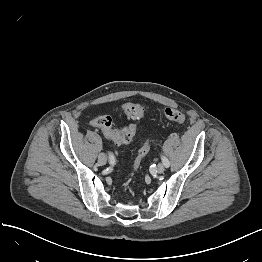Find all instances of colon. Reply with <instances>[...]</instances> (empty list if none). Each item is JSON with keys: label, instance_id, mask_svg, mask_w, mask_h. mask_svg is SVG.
<instances>
[{"label": "colon", "instance_id": "colon-1", "mask_svg": "<svg viewBox=\"0 0 262 262\" xmlns=\"http://www.w3.org/2000/svg\"><path fill=\"white\" fill-rule=\"evenodd\" d=\"M120 111H123L133 122L127 126L114 129L112 127V119L109 116H101L95 122L94 125L100 128L105 135L117 146L129 143L136 134L137 120H140L145 115V109L143 106L134 103H124L119 107ZM164 116L172 121L182 123L185 120V115L178 109L167 107L164 109ZM152 146V140L147 139L144 141L142 147L138 151L134 163L131 175L135 176L141 161L147 155Z\"/></svg>", "mask_w": 262, "mask_h": 262}]
</instances>
